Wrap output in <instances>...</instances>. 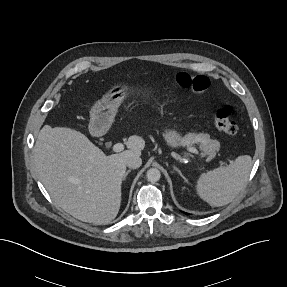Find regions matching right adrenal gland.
Segmentation results:
<instances>
[{
	"mask_svg": "<svg viewBox=\"0 0 287 287\" xmlns=\"http://www.w3.org/2000/svg\"><path fill=\"white\" fill-rule=\"evenodd\" d=\"M131 170H128L127 172H126V174H125V176H127L128 174H129V172H130Z\"/></svg>",
	"mask_w": 287,
	"mask_h": 287,
	"instance_id": "1",
	"label": "right adrenal gland"
}]
</instances>
